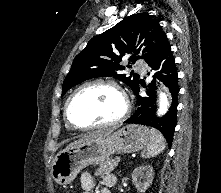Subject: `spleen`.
<instances>
[{
  "mask_svg": "<svg viewBox=\"0 0 221 193\" xmlns=\"http://www.w3.org/2000/svg\"><path fill=\"white\" fill-rule=\"evenodd\" d=\"M165 139L162 134L154 129H150V143L141 152L143 158H151L160 154L165 149Z\"/></svg>",
  "mask_w": 221,
  "mask_h": 193,
  "instance_id": "1",
  "label": "spleen"
}]
</instances>
